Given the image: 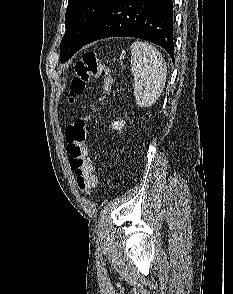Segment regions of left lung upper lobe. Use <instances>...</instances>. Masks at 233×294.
I'll use <instances>...</instances> for the list:
<instances>
[{
  "label": "left lung upper lobe",
  "instance_id": "obj_1",
  "mask_svg": "<svg viewBox=\"0 0 233 294\" xmlns=\"http://www.w3.org/2000/svg\"><path fill=\"white\" fill-rule=\"evenodd\" d=\"M110 0H69L66 9V32L60 45L61 62L82 48Z\"/></svg>",
  "mask_w": 233,
  "mask_h": 294
}]
</instances>
